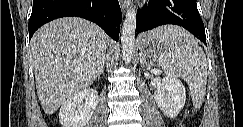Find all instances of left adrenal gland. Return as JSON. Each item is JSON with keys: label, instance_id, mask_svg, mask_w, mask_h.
<instances>
[{"label": "left adrenal gland", "instance_id": "left-adrenal-gland-1", "mask_svg": "<svg viewBox=\"0 0 243 127\" xmlns=\"http://www.w3.org/2000/svg\"><path fill=\"white\" fill-rule=\"evenodd\" d=\"M140 63L143 66H146L147 69L150 68V65L147 63V61L145 60V57L143 55H140Z\"/></svg>", "mask_w": 243, "mask_h": 127}]
</instances>
